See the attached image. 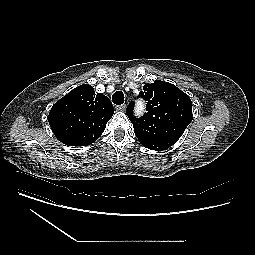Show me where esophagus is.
Segmentation results:
<instances>
[{
	"label": "esophagus",
	"mask_w": 255,
	"mask_h": 255,
	"mask_svg": "<svg viewBox=\"0 0 255 255\" xmlns=\"http://www.w3.org/2000/svg\"><path fill=\"white\" fill-rule=\"evenodd\" d=\"M115 109L117 111H124L126 109V105L122 104V105L116 106Z\"/></svg>",
	"instance_id": "esophagus-1"
}]
</instances>
